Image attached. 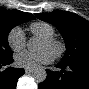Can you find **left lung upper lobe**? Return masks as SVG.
<instances>
[{
	"label": "left lung upper lobe",
	"instance_id": "obj_1",
	"mask_svg": "<svg viewBox=\"0 0 89 89\" xmlns=\"http://www.w3.org/2000/svg\"><path fill=\"white\" fill-rule=\"evenodd\" d=\"M42 21L53 24L61 33L66 52L61 63L81 58L89 59V22L77 14L66 11L35 14Z\"/></svg>",
	"mask_w": 89,
	"mask_h": 89
}]
</instances>
